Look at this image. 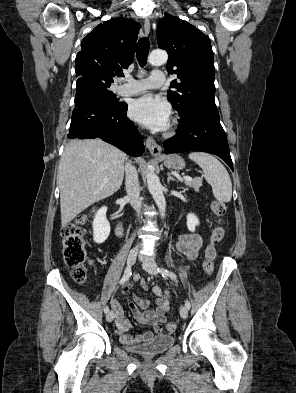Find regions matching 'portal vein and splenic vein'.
<instances>
[{"instance_id": "1", "label": "portal vein and splenic vein", "mask_w": 296, "mask_h": 393, "mask_svg": "<svg viewBox=\"0 0 296 393\" xmlns=\"http://www.w3.org/2000/svg\"><path fill=\"white\" fill-rule=\"evenodd\" d=\"M183 179L188 181L192 180L189 176H183ZM104 182H108V179H105Z\"/></svg>"}]
</instances>
